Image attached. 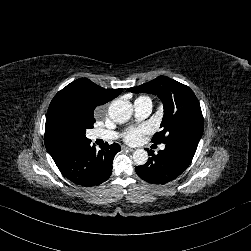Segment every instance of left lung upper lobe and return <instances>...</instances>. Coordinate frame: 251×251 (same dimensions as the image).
<instances>
[{
    "label": "left lung upper lobe",
    "instance_id": "left-lung-upper-lobe-1",
    "mask_svg": "<svg viewBox=\"0 0 251 251\" xmlns=\"http://www.w3.org/2000/svg\"><path fill=\"white\" fill-rule=\"evenodd\" d=\"M128 91L154 94L163 102L162 131L153 136V143L183 140L198 145L203 134V116L199 101L188 86L159 76L143 85L128 88Z\"/></svg>",
    "mask_w": 251,
    "mask_h": 251
}]
</instances>
